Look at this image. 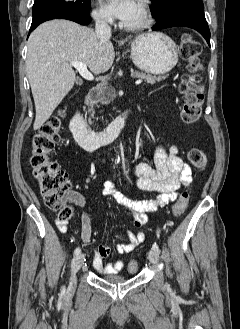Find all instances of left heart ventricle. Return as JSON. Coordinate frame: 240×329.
I'll return each mask as SVG.
<instances>
[{"label":"left heart ventricle","mask_w":240,"mask_h":329,"mask_svg":"<svg viewBox=\"0 0 240 329\" xmlns=\"http://www.w3.org/2000/svg\"><path fill=\"white\" fill-rule=\"evenodd\" d=\"M141 20H142V10L140 8V5L137 3V7H136L134 14L131 16L130 19H128L124 23L125 24H136V23H139Z\"/></svg>","instance_id":"left-heart-ventricle-1"}]
</instances>
